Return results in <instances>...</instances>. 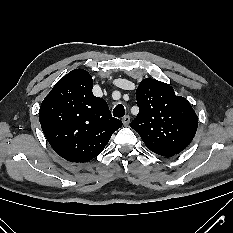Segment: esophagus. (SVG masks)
I'll use <instances>...</instances> for the list:
<instances>
[{
  "instance_id": "34e87169",
  "label": "esophagus",
  "mask_w": 233,
  "mask_h": 233,
  "mask_svg": "<svg viewBox=\"0 0 233 233\" xmlns=\"http://www.w3.org/2000/svg\"><path fill=\"white\" fill-rule=\"evenodd\" d=\"M122 122L124 124V126H128V124L130 123V116H125L123 119H122Z\"/></svg>"
}]
</instances>
